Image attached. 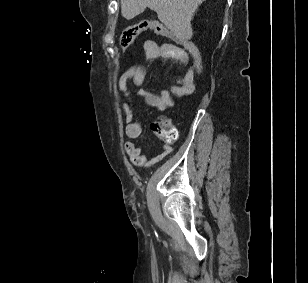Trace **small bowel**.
I'll use <instances>...</instances> for the list:
<instances>
[{
    "label": "small bowel",
    "mask_w": 308,
    "mask_h": 283,
    "mask_svg": "<svg viewBox=\"0 0 308 283\" xmlns=\"http://www.w3.org/2000/svg\"><path fill=\"white\" fill-rule=\"evenodd\" d=\"M143 50L148 58L162 57L171 59L185 68L183 76L159 94L149 92L145 89H139L137 94L142 97L148 105L158 110H164L166 107H170L174 104L175 97H181L192 92L195 74L190 65L191 58L185 50L170 44H158L153 41L145 42ZM145 77L146 70L138 66L127 69L119 78V87L126 97V100L122 103V110L126 122L125 133L129 139L125 143V151L130 162L139 168H148L155 165L168 156L173 150L171 145L172 141L166 140L161 151L149 157L142 152L140 146L133 142V140L138 139L142 135L143 129L142 124L136 118L133 111V98L129 89V83L135 86H141Z\"/></svg>",
    "instance_id": "1"
}]
</instances>
